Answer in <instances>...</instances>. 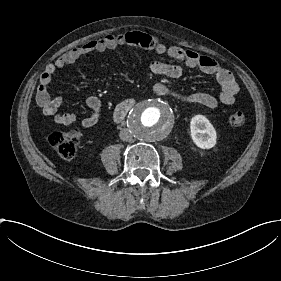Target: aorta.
Returning <instances> with one entry per match:
<instances>
[{"instance_id":"1","label":"aorta","mask_w":281,"mask_h":281,"mask_svg":"<svg viewBox=\"0 0 281 281\" xmlns=\"http://www.w3.org/2000/svg\"><path fill=\"white\" fill-rule=\"evenodd\" d=\"M129 131L142 141L155 142L164 139L172 130L174 115L166 103L145 100L137 103L128 119Z\"/></svg>"}]
</instances>
